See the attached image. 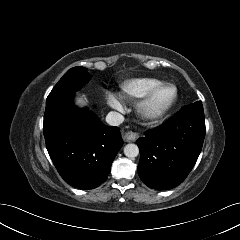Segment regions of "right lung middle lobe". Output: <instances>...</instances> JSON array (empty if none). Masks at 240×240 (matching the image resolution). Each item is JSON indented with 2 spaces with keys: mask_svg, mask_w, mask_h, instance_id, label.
<instances>
[{
  "mask_svg": "<svg viewBox=\"0 0 240 240\" xmlns=\"http://www.w3.org/2000/svg\"><path fill=\"white\" fill-rule=\"evenodd\" d=\"M90 78L91 75L87 72L86 68L80 66L71 68L52 89L46 102L56 97L74 94L76 91L80 90Z\"/></svg>",
  "mask_w": 240,
  "mask_h": 240,
  "instance_id": "1",
  "label": "right lung middle lobe"
}]
</instances>
